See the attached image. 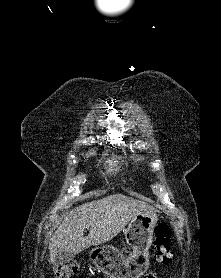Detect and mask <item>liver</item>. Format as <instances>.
<instances>
[{
  "instance_id": "obj_1",
  "label": "liver",
  "mask_w": 221,
  "mask_h": 278,
  "mask_svg": "<svg viewBox=\"0 0 221 278\" xmlns=\"http://www.w3.org/2000/svg\"><path fill=\"white\" fill-rule=\"evenodd\" d=\"M154 207L123 194H114L84 203L71 210L49 243L50 260L61 252L78 254L84 249L116 237L133 217L155 213ZM89 229L84 237V230Z\"/></svg>"
}]
</instances>
